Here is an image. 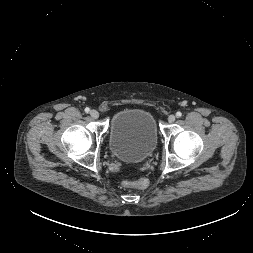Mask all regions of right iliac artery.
<instances>
[{
  "mask_svg": "<svg viewBox=\"0 0 253 253\" xmlns=\"http://www.w3.org/2000/svg\"><path fill=\"white\" fill-rule=\"evenodd\" d=\"M90 109L88 107L85 108V112L88 113Z\"/></svg>",
  "mask_w": 253,
  "mask_h": 253,
  "instance_id": "1",
  "label": "right iliac artery"
}]
</instances>
